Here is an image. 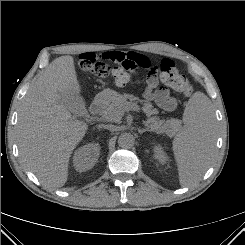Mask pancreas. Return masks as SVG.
I'll use <instances>...</instances> for the list:
<instances>
[{
	"mask_svg": "<svg viewBox=\"0 0 245 245\" xmlns=\"http://www.w3.org/2000/svg\"><path fill=\"white\" fill-rule=\"evenodd\" d=\"M128 99L129 101H127ZM135 101H140L143 103L142 110L148 117L146 124L151 131H155L158 134L166 133L168 135H173L180 130V120L171 118L164 121L160 120L156 116H151L157 114L158 112L153 105L149 102H143L131 94L117 95L114 97L112 103L103 111V119L107 122L119 123L125 111L137 107V103Z\"/></svg>",
	"mask_w": 245,
	"mask_h": 245,
	"instance_id": "obj_1",
	"label": "pancreas"
}]
</instances>
